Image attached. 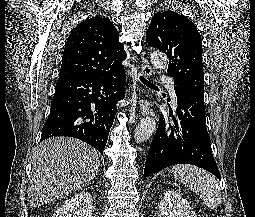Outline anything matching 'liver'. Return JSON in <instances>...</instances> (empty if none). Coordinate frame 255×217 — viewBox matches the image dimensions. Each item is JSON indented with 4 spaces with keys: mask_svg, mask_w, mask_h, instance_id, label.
I'll use <instances>...</instances> for the list:
<instances>
[{
    "mask_svg": "<svg viewBox=\"0 0 255 217\" xmlns=\"http://www.w3.org/2000/svg\"><path fill=\"white\" fill-rule=\"evenodd\" d=\"M100 158L87 143L70 137L44 140L32 156L28 201L39 207L80 190L98 173Z\"/></svg>",
    "mask_w": 255,
    "mask_h": 217,
    "instance_id": "1",
    "label": "liver"
}]
</instances>
